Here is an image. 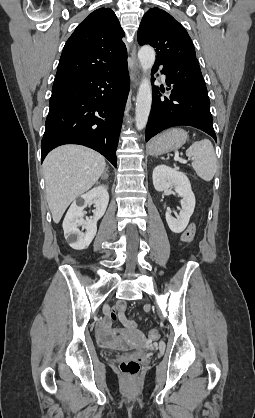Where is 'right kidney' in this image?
I'll use <instances>...</instances> for the list:
<instances>
[{
    "label": "right kidney",
    "mask_w": 255,
    "mask_h": 418,
    "mask_svg": "<svg viewBox=\"0 0 255 418\" xmlns=\"http://www.w3.org/2000/svg\"><path fill=\"white\" fill-rule=\"evenodd\" d=\"M109 202V194L104 186H98L81 195L71 204L63 221L64 236L70 247L76 250L85 249L90 245L97 232V221L104 215ZM95 204L94 216L84 220V208ZM82 226L86 232L79 230Z\"/></svg>",
    "instance_id": "right-kidney-1"
}]
</instances>
